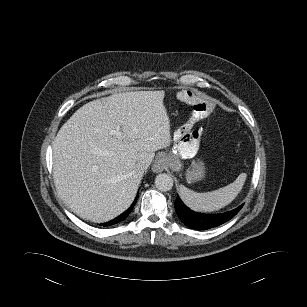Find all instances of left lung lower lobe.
Instances as JSON below:
<instances>
[{
  "label": "left lung lower lobe",
  "instance_id": "1",
  "mask_svg": "<svg viewBox=\"0 0 307 307\" xmlns=\"http://www.w3.org/2000/svg\"><path fill=\"white\" fill-rule=\"evenodd\" d=\"M174 206L178 217L182 220L184 224H186L192 229L205 230L217 227L229 221L240 211L243 205H240L236 209L228 211L226 213L202 214L189 209L187 206L184 205L179 196H177Z\"/></svg>",
  "mask_w": 307,
  "mask_h": 307
}]
</instances>
